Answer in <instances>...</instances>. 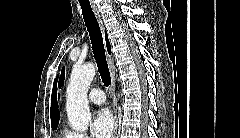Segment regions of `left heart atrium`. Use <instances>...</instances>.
Wrapping results in <instances>:
<instances>
[{"instance_id": "1", "label": "left heart atrium", "mask_w": 240, "mask_h": 138, "mask_svg": "<svg viewBox=\"0 0 240 138\" xmlns=\"http://www.w3.org/2000/svg\"><path fill=\"white\" fill-rule=\"evenodd\" d=\"M114 129V121L107 109H100L96 112L92 123L91 133L95 138H109Z\"/></svg>"}]
</instances>
